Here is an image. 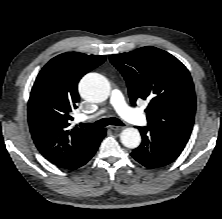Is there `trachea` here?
Wrapping results in <instances>:
<instances>
[{
    "label": "trachea",
    "mask_w": 222,
    "mask_h": 219,
    "mask_svg": "<svg viewBox=\"0 0 222 219\" xmlns=\"http://www.w3.org/2000/svg\"><path fill=\"white\" fill-rule=\"evenodd\" d=\"M115 125V126H124V123L119 120L118 118L111 117V118H103L93 124L91 123H80V127L82 128H88V129H98L105 127L107 125Z\"/></svg>",
    "instance_id": "3493384b"
}]
</instances>
